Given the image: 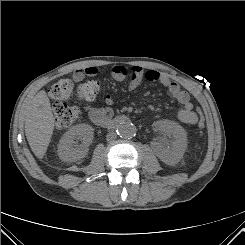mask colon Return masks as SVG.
<instances>
[{
    "label": "colon",
    "mask_w": 245,
    "mask_h": 245,
    "mask_svg": "<svg viewBox=\"0 0 245 245\" xmlns=\"http://www.w3.org/2000/svg\"><path fill=\"white\" fill-rule=\"evenodd\" d=\"M99 91V83L95 80H88L77 87L68 78L55 83L50 89V95L55 100L53 111L56 127L63 129L78 119L80 109L68 103L71 98L76 97L79 100L90 101L96 98ZM198 126L200 128L204 127V119L200 113L198 115Z\"/></svg>",
    "instance_id": "1"
}]
</instances>
